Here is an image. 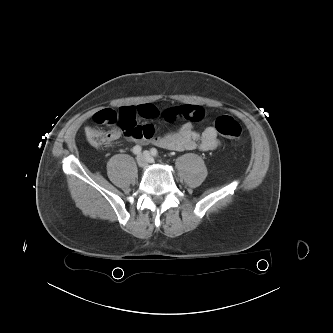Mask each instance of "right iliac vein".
<instances>
[{"mask_svg": "<svg viewBox=\"0 0 333 333\" xmlns=\"http://www.w3.org/2000/svg\"><path fill=\"white\" fill-rule=\"evenodd\" d=\"M136 160H137V164L139 167H141V168L146 167L148 161L144 154L138 155Z\"/></svg>", "mask_w": 333, "mask_h": 333, "instance_id": "63e3f726", "label": "right iliac vein"}]
</instances>
